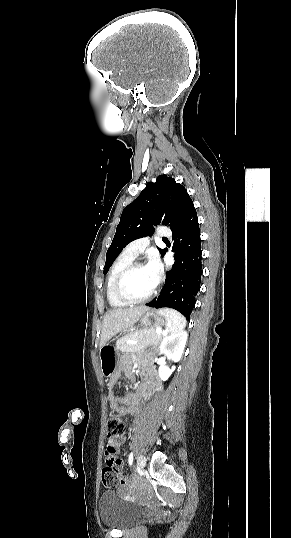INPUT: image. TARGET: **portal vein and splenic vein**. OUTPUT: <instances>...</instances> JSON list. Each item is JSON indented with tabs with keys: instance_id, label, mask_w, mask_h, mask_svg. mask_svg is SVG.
<instances>
[{
	"instance_id": "portal-vein-and-splenic-vein-1",
	"label": "portal vein and splenic vein",
	"mask_w": 291,
	"mask_h": 538,
	"mask_svg": "<svg viewBox=\"0 0 291 538\" xmlns=\"http://www.w3.org/2000/svg\"><path fill=\"white\" fill-rule=\"evenodd\" d=\"M158 333H161L162 331L160 329L156 330ZM138 341H134V343H137Z\"/></svg>"
}]
</instances>
